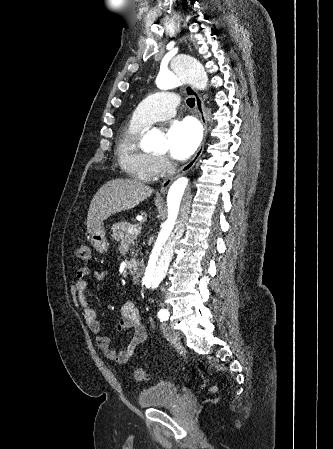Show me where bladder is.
I'll return each mask as SVG.
<instances>
[{"label": "bladder", "instance_id": "bladder-1", "mask_svg": "<svg viewBox=\"0 0 333 449\" xmlns=\"http://www.w3.org/2000/svg\"><path fill=\"white\" fill-rule=\"evenodd\" d=\"M180 396V387L174 382L160 381L143 389L138 395L142 408H160L175 404Z\"/></svg>", "mask_w": 333, "mask_h": 449}]
</instances>
